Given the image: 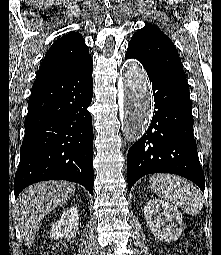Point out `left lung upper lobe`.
I'll return each instance as SVG.
<instances>
[{
  "instance_id": "left-lung-upper-lobe-1",
  "label": "left lung upper lobe",
  "mask_w": 221,
  "mask_h": 255,
  "mask_svg": "<svg viewBox=\"0 0 221 255\" xmlns=\"http://www.w3.org/2000/svg\"><path fill=\"white\" fill-rule=\"evenodd\" d=\"M127 52L133 54L142 64L188 88L186 75L174 44L156 26L146 24L138 30L131 38Z\"/></svg>"
}]
</instances>
